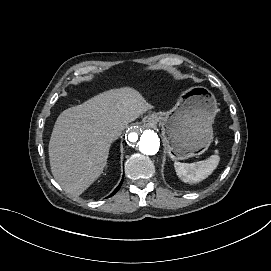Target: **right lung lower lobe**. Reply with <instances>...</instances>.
Listing matches in <instances>:
<instances>
[{"mask_svg": "<svg viewBox=\"0 0 271 271\" xmlns=\"http://www.w3.org/2000/svg\"><path fill=\"white\" fill-rule=\"evenodd\" d=\"M121 184H122V181H121V183L119 184V186L114 190V192H113L109 197L113 196V195L119 190Z\"/></svg>", "mask_w": 271, "mask_h": 271, "instance_id": "1", "label": "right lung lower lobe"}]
</instances>
